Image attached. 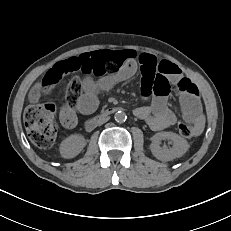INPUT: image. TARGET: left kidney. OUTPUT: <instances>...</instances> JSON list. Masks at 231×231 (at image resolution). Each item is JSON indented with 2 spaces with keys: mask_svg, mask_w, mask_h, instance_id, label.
<instances>
[{
  "mask_svg": "<svg viewBox=\"0 0 231 231\" xmlns=\"http://www.w3.org/2000/svg\"><path fill=\"white\" fill-rule=\"evenodd\" d=\"M171 140L173 147L168 149L160 147L161 140ZM152 154L161 161H170L183 156L189 149L186 139L173 132H159L153 136V142L150 145Z\"/></svg>",
  "mask_w": 231,
  "mask_h": 231,
  "instance_id": "1",
  "label": "left kidney"
}]
</instances>
